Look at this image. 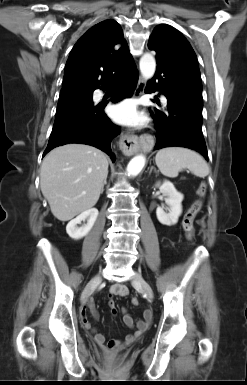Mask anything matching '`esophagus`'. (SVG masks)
I'll use <instances>...</instances> for the list:
<instances>
[{"label":"esophagus","instance_id":"34e87169","mask_svg":"<svg viewBox=\"0 0 247 385\" xmlns=\"http://www.w3.org/2000/svg\"><path fill=\"white\" fill-rule=\"evenodd\" d=\"M145 88V80L140 76L138 79V83L136 89L134 91V96L139 97ZM119 147L125 155H133L139 149V140L138 137L132 133H124L122 134Z\"/></svg>","mask_w":247,"mask_h":385}]
</instances>
